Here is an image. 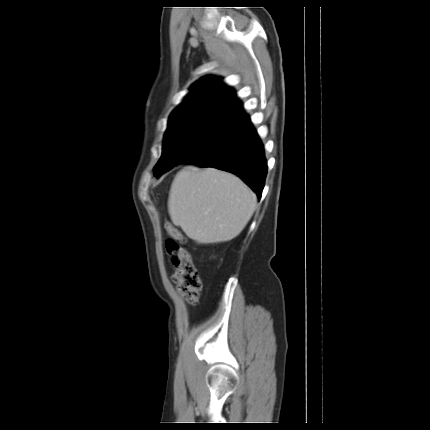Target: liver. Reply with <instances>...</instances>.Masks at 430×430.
<instances>
[{
	"label": "liver",
	"mask_w": 430,
	"mask_h": 430,
	"mask_svg": "<svg viewBox=\"0 0 430 430\" xmlns=\"http://www.w3.org/2000/svg\"><path fill=\"white\" fill-rule=\"evenodd\" d=\"M257 197L236 175L195 166L176 175L168 210L175 226L201 244L230 241L240 234L256 208Z\"/></svg>",
	"instance_id": "1"
}]
</instances>
